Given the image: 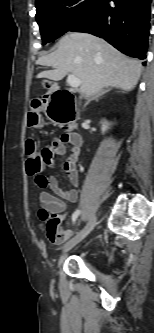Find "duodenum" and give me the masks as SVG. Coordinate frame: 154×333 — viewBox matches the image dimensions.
Here are the masks:
<instances>
[{"instance_id": "410a0bca", "label": "duodenum", "mask_w": 154, "mask_h": 333, "mask_svg": "<svg viewBox=\"0 0 154 333\" xmlns=\"http://www.w3.org/2000/svg\"><path fill=\"white\" fill-rule=\"evenodd\" d=\"M67 94V101L65 104H63L61 101L57 99V106H55L52 110V117L57 118H63L66 120H73L72 125L75 124L77 117L76 112L74 109V96L69 91L63 90ZM59 92H62V90H59L58 87H53L51 89L52 96H57ZM74 133V132H70Z\"/></svg>"}]
</instances>
